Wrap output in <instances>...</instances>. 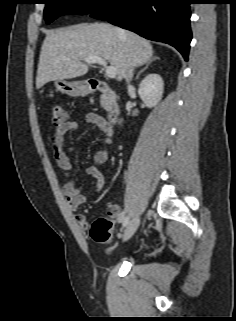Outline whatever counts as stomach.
<instances>
[{"mask_svg": "<svg viewBox=\"0 0 236 321\" xmlns=\"http://www.w3.org/2000/svg\"><path fill=\"white\" fill-rule=\"evenodd\" d=\"M55 87L61 93L72 97L84 96L90 92V88L85 81L56 80Z\"/></svg>", "mask_w": 236, "mask_h": 321, "instance_id": "0dacf381", "label": "stomach"}]
</instances>
